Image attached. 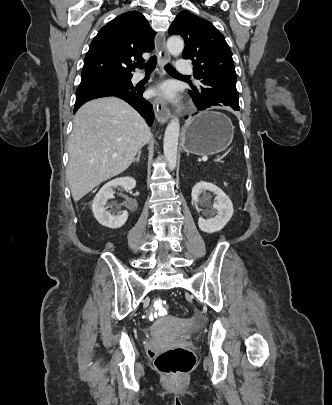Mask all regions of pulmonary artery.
I'll list each match as a JSON object with an SVG mask.
<instances>
[{
    "label": "pulmonary artery",
    "instance_id": "1",
    "mask_svg": "<svg viewBox=\"0 0 332 405\" xmlns=\"http://www.w3.org/2000/svg\"><path fill=\"white\" fill-rule=\"evenodd\" d=\"M177 70L181 75H189L192 73L191 66L187 63L186 60L180 59L177 63ZM144 75L138 74L133 77V81L137 82L143 79Z\"/></svg>",
    "mask_w": 332,
    "mask_h": 405
}]
</instances>
